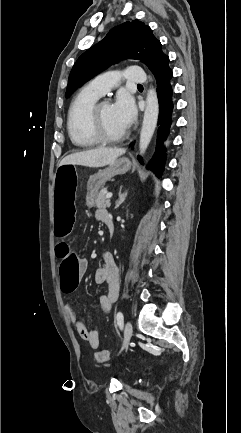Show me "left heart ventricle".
<instances>
[{
	"instance_id": "left-heart-ventricle-1",
	"label": "left heart ventricle",
	"mask_w": 241,
	"mask_h": 433,
	"mask_svg": "<svg viewBox=\"0 0 241 433\" xmlns=\"http://www.w3.org/2000/svg\"><path fill=\"white\" fill-rule=\"evenodd\" d=\"M101 121L104 131L110 136H118L125 131L116 117L112 105H104L102 107Z\"/></svg>"
}]
</instances>
